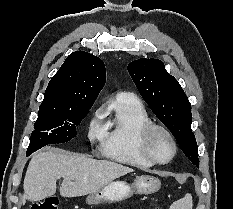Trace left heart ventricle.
Instances as JSON below:
<instances>
[{
    "instance_id": "obj_1",
    "label": "left heart ventricle",
    "mask_w": 233,
    "mask_h": 209,
    "mask_svg": "<svg viewBox=\"0 0 233 209\" xmlns=\"http://www.w3.org/2000/svg\"><path fill=\"white\" fill-rule=\"evenodd\" d=\"M150 149L154 156L162 161L167 160L172 154V145L169 138L162 132H156L150 142Z\"/></svg>"
}]
</instances>
